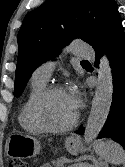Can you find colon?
<instances>
[{"label":"colon","mask_w":125,"mask_h":167,"mask_svg":"<svg viewBox=\"0 0 125 167\" xmlns=\"http://www.w3.org/2000/svg\"><path fill=\"white\" fill-rule=\"evenodd\" d=\"M8 167H29L28 163L18 159L10 160Z\"/></svg>","instance_id":"5ec220e1"}]
</instances>
